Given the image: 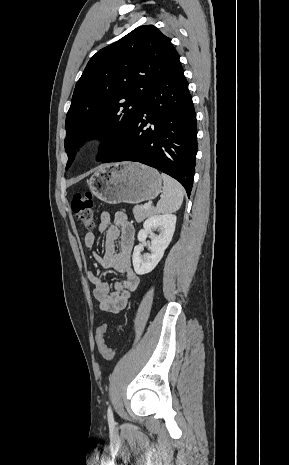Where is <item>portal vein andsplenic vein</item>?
Returning <instances> with one entry per match:
<instances>
[{"instance_id": "obj_1", "label": "portal vein and splenic vein", "mask_w": 289, "mask_h": 465, "mask_svg": "<svg viewBox=\"0 0 289 465\" xmlns=\"http://www.w3.org/2000/svg\"><path fill=\"white\" fill-rule=\"evenodd\" d=\"M144 208H145V209H150V208H151V204H150V203L144 204Z\"/></svg>"}]
</instances>
